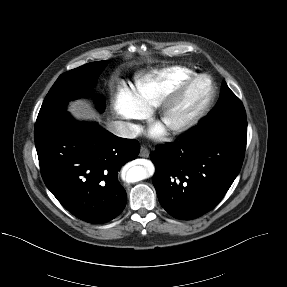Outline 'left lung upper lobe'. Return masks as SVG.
Here are the masks:
<instances>
[{
    "instance_id": "left-lung-upper-lobe-1",
    "label": "left lung upper lobe",
    "mask_w": 287,
    "mask_h": 287,
    "mask_svg": "<svg viewBox=\"0 0 287 287\" xmlns=\"http://www.w3.org/2000/svg\"><path fill=\"white\" fill-rule=\"evenodd\" d=\"M204 129L247 138L246 112L241 100L222 83L220 99L213 110L201 120Z\"/></svg>"
}]
</instances>
